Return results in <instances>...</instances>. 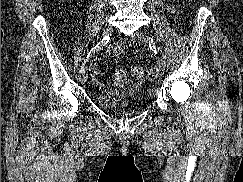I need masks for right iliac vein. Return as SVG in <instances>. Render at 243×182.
I'll list each match as a JSON object with an SVG mask.
<instances>
[{"label":"right iliac vein","instance_id":"63e3f726","mask_svg":"<svg viewBox=\"0 0 243 182\" xmlns=\"http://www.w3.org/2000/svg\"><path fill=\"white\" fill-rule=\"evenodd\" d=\"M112 33H113V29L111 26H107L103 31L104 36H111ZM87 78H88L87 66L83 64V66L80 69V80L82 81V83H85L87 81Z\"/></svg>","mask_w":243,"mask_h":182}]
</instances>
